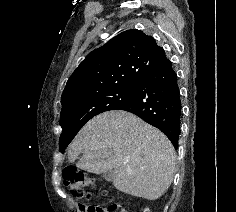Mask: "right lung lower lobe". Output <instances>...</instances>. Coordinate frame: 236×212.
Segmentation results:
<instances>
[{
    "mask_svg": "<svg viewBox=\"0 0 236 212\" xmlns=\"http://www.w3.org/2000/svg\"><path fill=\"white\" fill-rule=\"evenodd\" d=\"M177 80L172 63L165 56L141 79L132 97L117 108L160 129L175 148L178 147L182 109Z\"/></svg>",
    "mask_w": 236,
    "mask_h": 212,
    "instance_id": "obj_1",
    "label": "right lung lower lobe"
}]
</instances>
